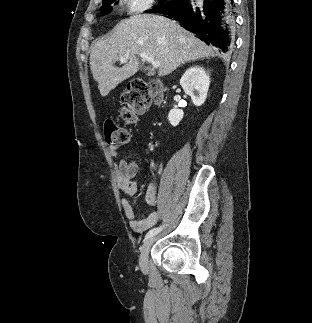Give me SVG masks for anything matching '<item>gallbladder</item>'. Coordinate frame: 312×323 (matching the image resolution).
Instances as JSON below:
<instances>
[{"mask_svg": "<svg viewBox=\"0 0 312 323\" xmlns=\"http://www.w3.org/2000/svg\"><path fill=\"white\" fill-rule=\"evenodd\" d=\"M147 76H154L153 70H147Z\"/></svg>", "mask_w": 312, "mask_h": 323, "instance_id": "1", "label": "gallbladder"}]
</instances>
